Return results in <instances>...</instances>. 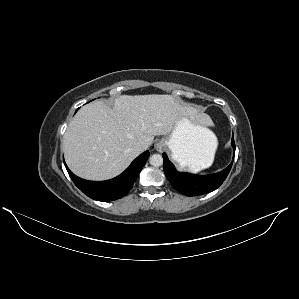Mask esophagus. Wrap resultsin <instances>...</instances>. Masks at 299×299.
I'll return each mask as SVG.
<instances>
[{"label":"esophagus","mask_w":299,"mask_h":299,"mask_svg":"<svg viewBox=\"0 0 299 299\" xmlns=\"http://www.w3.org/2000/svg\"><path fill=\"white\" fill-rule=\"evenodd\" d=\"M163 144L161 143V142H159V143H157L156 145H155V147H156V149L158 150V151H161L162 150V148H163Z\"/></svg>","instance_id":"34e87169"}]
</instances>
